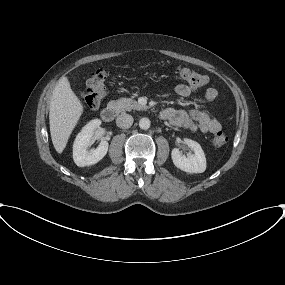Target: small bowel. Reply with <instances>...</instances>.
<instances>
[{
	"mask_svg": "<svg viewBox=\"0 0 285 285\" xmlns=\"http://www.w3.org/2000/svg\"><path fill=\"white\" fill-rule=\"evenodd\" d=\"M176 93L183 98L189 97L192 88L186 84H177ZM218 92L213 87H208L204 92V98L212 102L217 98ZM161 118L171 124L193 132L216 134L221 131V123L217 117L206 110L199 109H175L168 107L161 112Z\"/></svg>",
	"mask_w": 285,
	"mask_h": 285,
	"instance_id": "small-bowel-1",
	"label": "small bowel"
}]
</instances>
